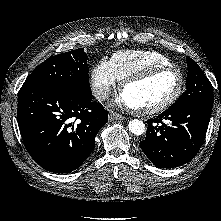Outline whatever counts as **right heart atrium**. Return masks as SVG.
Wrapping results in <instances>:
<instances>
[{"label":"right heart atrium","mask_w":221,"mask_h":221,"mask_svg":"<svg viewBox=\"0 0 221 221\" xmlns=\"http://www.w3.org/2000/svg\"><path fill=\"white\" fill-rule=\"evenodd\" d=\"M90 85L94 96L104 101L117 85L111 65L107 60H100L91 70Z\"/></svg>","instance_id":"1"}]
</instances>
